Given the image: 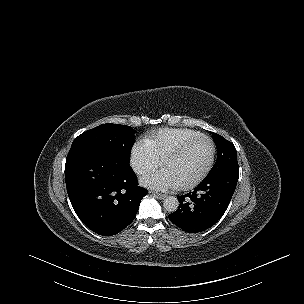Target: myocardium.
I'll use <instances>...</instances> for the list:
<instances>
[{
    "mask_svg": "<svg viewBox=\"0 0 304 304\" xmlns=\"http://www.w3.org/2000/svg\"><path fill=\"white\" fill-rule=\"evenodd\" d=\"M202 141H207L210 144V155H209L208 161L206 162L203 169L199 172V174L197 176H195L192 180L178 184V187L181 189H188V188H191V187L197 185L209 173V171L213 165V162H214L215 151H216V147H215L213 140L210 137L205 136V135L198 136V137L182 144L181 146L177 147L163 161L162 169L164 171H167L168 165L170 164L171 161H173L175 158H177L179 155H181L183 152H185L190 147H192Z\"/></svg>",
    "mask_w": 304,
    "mask_h": 304,
    "instance_id": "1",
    "label": "myocardium"
}]
</instances>
